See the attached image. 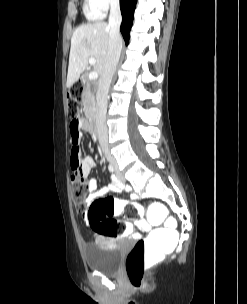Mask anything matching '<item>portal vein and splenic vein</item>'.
Listing matches in <instances>:
<instances>
[{
	"mask_svg": "<svg viewBox=\"0 0 247 304\" xmlns=\"http://www.w3.org/2000/svg\"><path fill=\"white\" fill-rule=\"evenodd\" d=\"M89 63H90V65H95V63H96L95 58L94 57H90L89 58ZM88 77H89L90 80L97 79L98 78V73L96 71H91L89 73Z\"/></svg>",
	"mask_w": 247,
	"mask_h": 304,
	"instance_id": "portal-vein-and-splenic-vein-1",
	"label": "portal vein and splenic vein"
}]
</instances>
